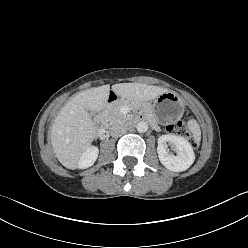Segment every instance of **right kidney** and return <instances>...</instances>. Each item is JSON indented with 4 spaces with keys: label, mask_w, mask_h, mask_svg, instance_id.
Instances as JSON below:
<instances>
[{
    "label": "right kidney",
    "mask_w": 248,
    "mask_h": 248,
    "mask_svg": "<svg viewBox=\"0 0 248 248\" xmlns=\"http://www.w3.org/2000/svg\"><path fill=\"white\" fill-rule=\"evenodd\" d=\"M98 148L94 146H90L81 156L78 167L80 169H85L94 164L98 157Z\"/></svg>",
    "instance_id": "right-kidney-1"
}]
</instances>
